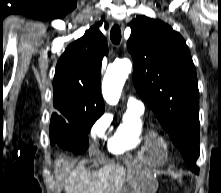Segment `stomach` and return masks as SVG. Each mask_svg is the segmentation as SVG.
Segmentation results:
<instances>
[{"label":"stomach","instance_id":"obj_1","mask_svg":"<svg viewBox=\"0 0 221 193\" xmlns=\"http://www.w3.org/2000/svg\"><path fill=\"white\" fill-rule=\"evenodd\" d=\"M146 147L142 154L138 155L136 162H127L129 179H127L123 191L120 193H152L151 182H156L157 174H153L154 167H166L168 150H163L162 142L148 133L144 138ZM127 159H133V154H127Z\"/></svg>","mask_w":221,"mask_h":193}]
</instances>
